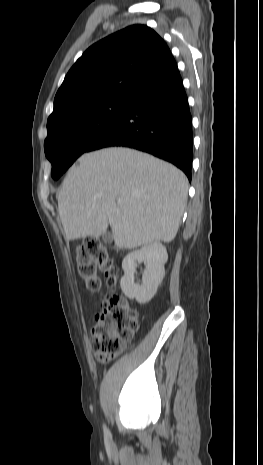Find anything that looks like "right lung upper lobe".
Wrapping results in <instances>:
<instances>
[{"mask_svg":"<svg viewBox=\"0 0 263 465\" xmlns=\"http://www.w3.org/2000/svg\"><path fill=\"white\" fill-rule=\"evenodd\" d=\"M177 64L163 39L146 25H132L89 47L67 73L48 121L90 101L133 97L167 77Z\"/></svg>","mask_w":263,"mask_h":465,"instance_id":"1","label":"right lung upper lobe"}]
</instances>
